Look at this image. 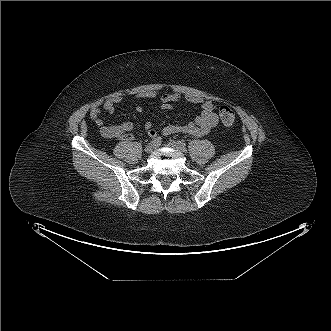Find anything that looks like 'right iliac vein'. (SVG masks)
I'll use <instances>...</instances> for the list:
<instances>
[{
	"instance_id": "63e3f726",
	"label": "right iliac vein",
	"mask_w": 331,
	"mask_h": 331,
	"mask_svg": "<svg viewBox=\"0 0 331 331\" xmlns=\"http://www.w3.org/2000/svg\"><path fill=\"white\" fill-rule=\"evenodd\" d=\"M152 150H153V146L152 145H148V146L145 147V152L146 153H151Z\"/></svg>"
}]
</instances>
